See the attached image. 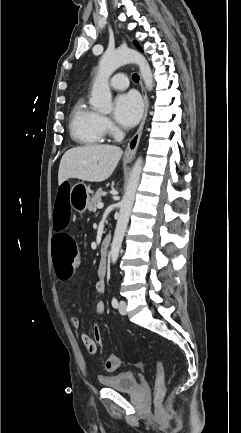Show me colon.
Segmentation results:
<instances>
[{"instance_id":"obj_1","label":"colon","mask_w":241,"mask_h":433,"mask_svg":"<svg viewBox=\"0 0 241 433\" xmlns=\"http://www.w3.org/2000/svg\"><path fill=\"white\" fill-rule=\"evenodd\" d=\"M68 181H61L59 186L55 187V201L53 208V226L59 230L58 234L51 235L52 257L58 278L61 281H68L73 276L77 265V247L73 234L64 230L69 226L70 216L72 215L71 195ZM98 350L103 351V341L99 330L95 328V338L93 339ZM89 347H94L88 343ZM120 365V360L115 354H108L105 360V367L109 371L116 370ZM155 394L161 396L165 391V370L163 363L156 359L155 361Z\"/></svg>"}]
</instances>
